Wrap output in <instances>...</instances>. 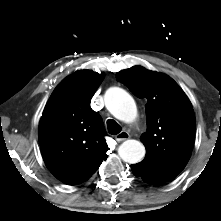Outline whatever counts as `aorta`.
<instances>
[{
  "label": "aorta",
  "instance_id": "762f6f07",
  "mask_svg": "<svg viewBox=\"0 0 221 221\" xmlns=\"http://www.w3.org/2000/svg\"><path fill=\"white\" fill-rule=\"evenodd\" d=\"M105 105L118 120L130 123L137 117V108L132 96L125 90L113 87L105 93ZM120 157L130 164L140 162L146 153L144 145L137 140H126L119 147Z\"/></svg>",
  "mask_w": 221,
  "mask_h": 221
}]
</instances>
